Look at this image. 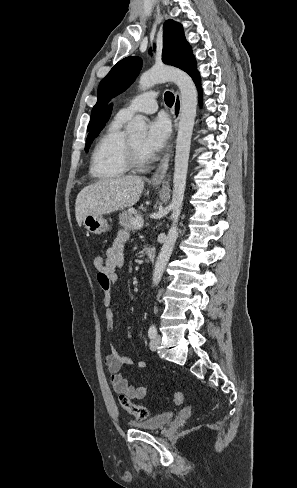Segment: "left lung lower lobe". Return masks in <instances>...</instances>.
I'll use <instances>...</instances> for the list:
<instances>
[{"label": "left lung lower lobe", "instance_id": "obj_1", "mask_svg": "<svg viewBox=\"0 0 297 488\" xmlns=\"http://www.w3.org/2000/svg\"><path fill=\"white\" fill-rule=\"evenodd\" d=\"M192 79L194 80L195 84L197 85V88H198L199 92L201 93L199 73H197L194 76H192Z\"/></svg>", "mask_w": 297, "mask_h": 488}]
</instances>
